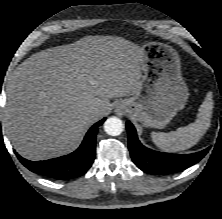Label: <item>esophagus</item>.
Masks as SVG:
<instances>
[{
	"mask_svg": "<svg viewBox=\"0 0 222 219\" xmlns=\"http://www.w3.org/2000/svg\"><path fill=\"white\" fill-rule=\"evenodd\" d=\"M115 113L119 116H122L124 114V109L122 107H117Z\"/></svg>",
	"mask_w": 222,
	"mask_h": 219,
	"instance_id": "34e87169",
	"label": "esophagus"
}]
</instances>
